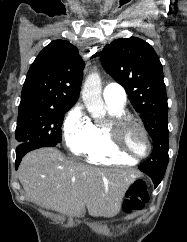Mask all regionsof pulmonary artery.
Returning <instances> with one entry per match:
<instances>
[{"label":"pulmonary artery","mask_w":187,"mask_h":242,"mask_svg":"<svg viewBox=\"0 0 187 242\" xmlns=\"http://www.w3.org/2000/svg\"><path fill=\"white\" fill-rule=\"evenodd\" d=\"M103 99L108 107L123 108L126 105V92L117 83L108 84L103 90Z\"/></svg>","instance_id":"pulmonary-artery-1"}]
</instances>
